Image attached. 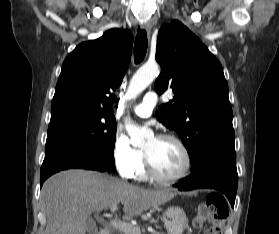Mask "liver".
I'll use <instances>...</instances> for the list:
<instances>
[{"label":"liver","instance_id":"1","mask_svg":"<svg viewBox=\"0 0 279 234\" xmlns=\"http://www.w3.org/2000/svg\"><path fill=\"white\" fill-rule=\"evenodd\" d=\"M173 197L169 191L145 189L95 171H62L42 187L41 202L47 219L44 234H85L93 212L122 203L124 218L130 219Z\"/></svg>","mask_w":279,"mask_h":234}]
</instances>
